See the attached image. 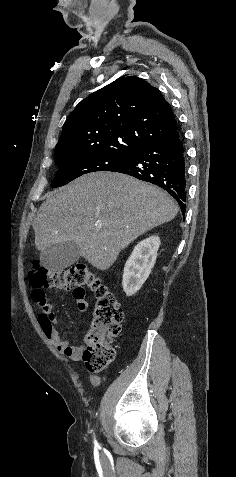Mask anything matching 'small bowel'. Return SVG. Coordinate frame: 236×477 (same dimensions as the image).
Here are the masks:
<instances>
[{
    "label": "small bowel",
    "instance_id": "small-bowel-1",
    "mask_svg": "<svg viewBox=\"0 0 236 477\" xmlns=\"http://www.w3.org/2000/svg\"><path fill=\"white\" fill-rule=\"evenodd\" d=\"M74 300L79 310H86L88 308L89 303L84 294H75ZM35 301L40 305L41 312L38 315L37 321L45 337L68 359L72 361L79 360L82 355V347L72 345L59 334L56 328L57 316L45 293H42L41 298L36 297Z\"/></svg>",
    "mask_w": 236,
    "mask_h": 477
}]
</instances>
